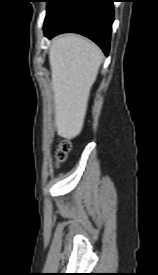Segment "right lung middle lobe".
Wrapping results in <instances>:
<instances>
[{"mask_svg":"<svg viewBox=\"0 0 158 275\" xmlns=\"http://www.w3.org/2000/svg\"><path fill=\"white\" fill-rule=\"evenodd\" d=\"M58 2H59V0H48L46 14L49 13L57 5Z\"/></svg>","mask_w":158,"mask_h":275,"instance_id":"dd1d6c3e","label":"right lung middle lobe"}]
</instances>
